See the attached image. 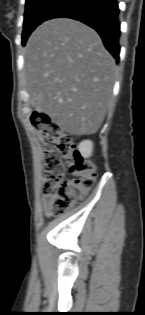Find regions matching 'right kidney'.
I'll list each match as a JSON object with an SVG mask.
<instances>
[{"instance_id": "ca27d5eb", "label": "right kidney", "mask_w": 145, "mask_h": 315, "mask_svg": "<svg viewBox=\"0 0 145 315\" xmlns=\"http://www.w3.org/2000/svg\"><path fill=\"white\" fill-rule=\"evenodd\" d=\"M78 149L83 157L88 158L92 154L93 143L90 140H85L79 144Z\"/></svg>"}]
</instances>
